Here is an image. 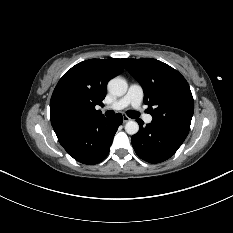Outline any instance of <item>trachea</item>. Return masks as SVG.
<instances>
[{
  "instance_id": "1",
  "label": "trachea",
  "mask_w": 233,
  "mask_h": 233,
  "mask_svg": "<svg viewBox=\"0 0 233 233\" xmlns=\"http://www.w3.org/2000/svg\"><path fill=\"white\" fill-rule=\"evenodd\" d=\"M106 115L107 116H113L114 115V112L113 111H107L106 112ZM127 115L130 117V118H137L139 116V113L137 111H134V110H128L127 111Z\"/></svg>"
}]
</instances>
